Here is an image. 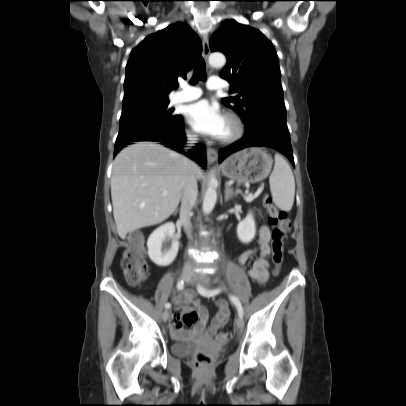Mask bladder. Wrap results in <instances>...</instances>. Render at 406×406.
I'll return each instance as SVG.
<instances>
[{
	"instance_id": "obj_1",
	"label": "bladder",
	"mask_w": 406,
	"mask_h": 406,
	"mask_svg": "<svg viewBox=\"0 0 406 406\" xmlns=\"http://www.w3.org/2000/svg\"><path fill=\"white\" fill-rule=\"evenodd\" d=\"M192 345L187 342H177L172 346V353L177 356H188L191 352Z\"/></svg>"
}]
</instances>
